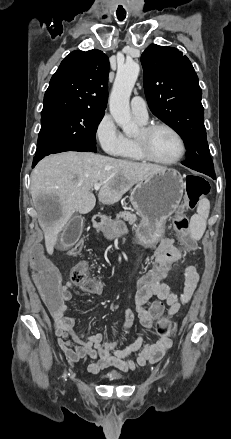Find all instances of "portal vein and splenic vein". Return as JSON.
<instances>
[{
  "mask_svg": "<svg viewBox=\"0 0 231 439\" xmlns=\"http://www.w3.org/2000/svg\"><path fill=\"white\" fill-rule=\"evenodd\" d=\"M101 186H102V184H100V183H96V184H94V189H95L96 191H98V190L101 188Z\"/></svg>",
  "mask_w": 231,
  "mask_h": 439,
  "instance_id": "obj_1",
  "label": "portal vein and splenic vein"
}]
</instances>
